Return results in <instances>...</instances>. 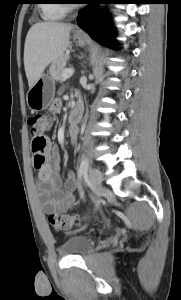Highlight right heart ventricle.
I'll use <instances>...</instances> for the list:
<instances>
[{"instance_id":"obj_1","label":"right heart ventricle","mask_w":181,"mask_h":300,"mask_svg":"<svg viewBox=\"0 0 181 300\" xmlns=\"http://www.w3.org/2000/svg\"><path fill=\"white\" fill-rule=\"evenodd\" d=\"M41 17L46 21H58L66 14V7L58 0H44L40 6Z\"/></svg>"}]
</instances>
